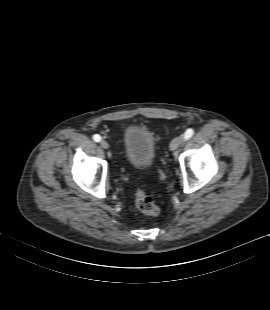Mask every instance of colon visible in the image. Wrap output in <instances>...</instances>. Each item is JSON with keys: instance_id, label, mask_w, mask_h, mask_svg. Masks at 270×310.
I'll return each mask as SVG.
<instances>
[{"instance_id": "1", "label": "colon", "mask_w": 270, "mask_h": 310, "mask_svg": "<svg viewBox=\"0 0 270 310\" xmlns=\"http://www.w3.org/2000/svg\"><path fill=\"white\" fill-rule=\"evenodd\" d=\"M135 202L137 208L146 215L157 216L160 213V207L156 204L154 199L142 189L136 192Z\"/></svg>"}]
</instances>
